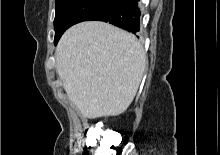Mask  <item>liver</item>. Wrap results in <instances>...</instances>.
Returning <instances> with one entry per match:
<instances>
[{"mask_svg":"<svg viewBox=\"0 0 220 155\" xmlns=\"http://www.w3.org/2000/svg\"><path fill=\"white\" fill-rule=\"evenodd\" d=\"M55 55L63 88L86 118L123 113L132 103L146 68V54L137 38L99 21L69 28Z\"/></svg>","mask_w":220,"mask_h":155,"instance_id":"liver-1","label":"liver"}]
</instances>
